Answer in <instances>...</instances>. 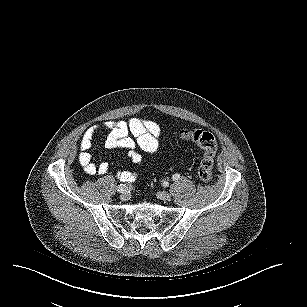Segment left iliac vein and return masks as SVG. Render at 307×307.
I'll list each match as a JSON object with an SVG mask.
<instances>
[{"instance_id":"obj_1","label":"left iliac vein","mask_w":307,"mask_h":307,"mask_svg":"<svg viewBox=\"0 0 307 307\" xmlns=\"http://www.w3.org/2000/svg\"><path fill=\"white\" fill-rule=\"evenodd\" d=\"M157 196L163 201H168L171 198V195L168 192H160Z\"/></svg>"}]
</instances>
